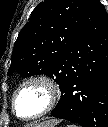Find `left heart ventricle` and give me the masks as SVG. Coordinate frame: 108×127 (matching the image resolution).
I'll list each match as a JSON object with an SVG mask.
<instances>
[{
    "label": "left heart ventricle",
    "mask_w": 108,
    "mask_h": 127,
    "mask_svg": "<svg viewBox=\"0 0 108 127\" xmlns=\"http://www.w3.org/2000/svg\"><path fill=\"white\" fill-rule=\"evenodd\" d=\"M47 103L43 87L30 85L20 92L16 99V109L21 116H31L41 111Z\"/></svg>",
    "instance_id": "left-heart-ventricle-1"
}]
</instances>
